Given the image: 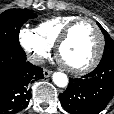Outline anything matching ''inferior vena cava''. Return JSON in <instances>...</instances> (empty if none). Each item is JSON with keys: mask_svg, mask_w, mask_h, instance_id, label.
<instances>
[{"mask_svg": "<svg viewBox=\"0 0 114 114\" xmlns=\"http://www.w3.org/2000/svg\"><path fill=\"white\" fill-rule=\"evenodd\" d=\"M27 60L34 65H41L44 63V58L37 54L28 56Z\"/></svg>", "mask_w": 114, "mask_h": 114, "instance_id": "1", "label": "inferior vena cava"}]
</instances>
